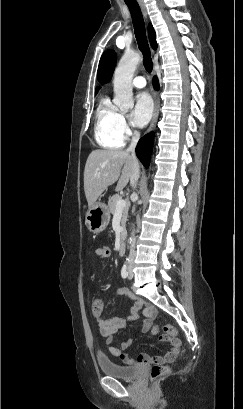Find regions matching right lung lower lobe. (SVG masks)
Segmentation results:
<instances>
[{"label": "right lung lower lobe", "instance_id": "right-lung-lower-lobe-1", "mask_svg": "<svg viewBox=\"0 0 243 409\" xmlns=\"http://www.w3.org/2000/svg\"><path fill=\"white\" fill-rule=\"evenodd\" d=\"M153 85L155 89L159 88L158 79L155 77L153 80ZM154 135L150 133L145 137L141 138L136 146V154L142 164L148 168L150 162V156L153 148Z\"/></svg>", "mask_w": 243, "mask_h": 409}]
</instances>
